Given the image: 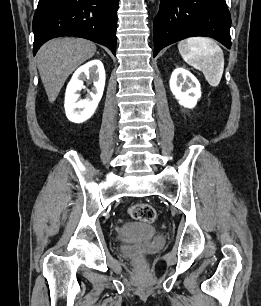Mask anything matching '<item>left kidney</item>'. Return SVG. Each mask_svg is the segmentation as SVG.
Instances as JSON below:
<instances>
[{
  "label": "left kidney",
  "mask_w": 261,
  "mask_h": 306,
  "mask_svg": "<svg viewBox=\"0 0 261 306\" xmlns=\"http://www.w3.org/2000/svg\"><path fill=\"white\" fill-rule=\"evenodd\" d=\"M170 90L178 103L189 109L194 108L201 97L199 81L184 68L173 71L170 78Z\"/></svg>",
  "instance_id": "obj_1"
}]
</instances>
